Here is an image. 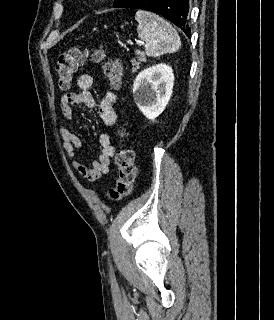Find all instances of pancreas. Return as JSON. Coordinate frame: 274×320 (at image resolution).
<instances>
[{"label": "pancreas", "mask_w": 274, "mask_h": 320, "mask_svg": "<svg viewBox=\"0 0 274 320\" xmlns=\"http://www.w3.org/2000/svg\"><path fill=\"white\" fill-rule=\"evenodd\" d=\"M135 54L136 56H138L137 60H135V58H133V60H130V62H132V66H135V68H132V72H136V70H139V64H142V62H146L144 52L136 50Z\"/></svg>", "instance_id": "cf45deb5"}]
</instances>
